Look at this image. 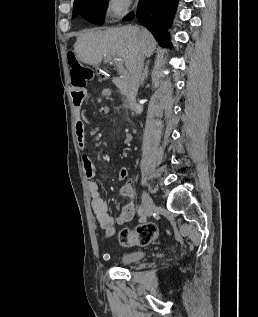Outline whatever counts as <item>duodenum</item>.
I'll return each instance as SVG.
<instances>
[{"label":"duodenum","mask_w":258,"mask_h":317,"mask_svg":"<svg viewBox=\"0 0 258 317\" xmlns=\"http://www.w3.org/2000/svg\"><path fill=\"white\" fill-rule=\"evenodd\" d=\"M71 98L75 106L79 107L82 105L86 98V88L84 85L72 82L71 85Z\"/></svg>","instance_id":"duodenum-1"}]
</instances>
